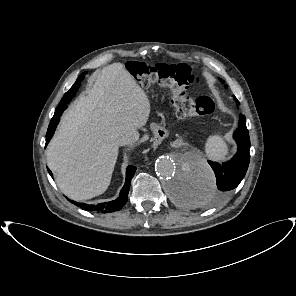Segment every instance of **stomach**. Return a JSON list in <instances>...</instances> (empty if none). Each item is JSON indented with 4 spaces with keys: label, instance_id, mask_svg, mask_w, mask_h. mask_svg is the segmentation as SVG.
Listing matches in <instances>:
<instances>
[{
    "label": "stomach",
    "instance_id": "stomach-1",
    "mask_svg": "<svg viewBox=\"0 0 296 296\" xmlns=\"http://www.w3.org/2000/svg\"><path fill=\"white\" fill-rule=\"evenodd\" d=\"M168 137V130L163 125H156L152 129L151 147L157 150L163 145L164 140Z\"/></svg>",
    "mask_w": 296,
    "mask_h": 296
}]
</instances>
